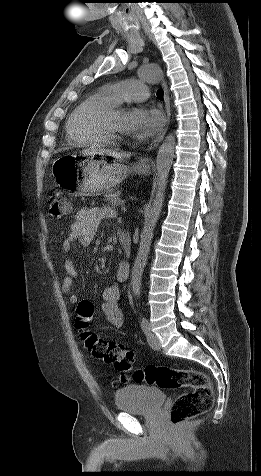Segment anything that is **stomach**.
<instances>
[{
	"label": "stomach",
	"mask_w": 261,
	"mask_h": 476,
	"mask_svg": "<svg viewBox=\"0 0 261 476\" xmlns=\"http://www.w3.org/2000/svg\"><path fill=\"white\" fill-rule=\"evenodd\" d=\"M110 152L83 151L79 156H59L54 164L56 183L70 195H94L120 184L128 174H147L149 167L136 164L132 167L110 162Z\"/></svg>",
	"instance_id": "1"
}]
</instances>
